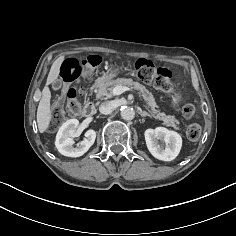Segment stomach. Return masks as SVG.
<instances>
[{
	"mask_svg": "<svg viewBox=\"0 0 236 236\" xmlns=\"http://www.w3.org/2000/svg\"><path fill=\"white\" fill-rule=\"evenodd\" d=\"M123 71L121 66H113L111 69H109L107 72L103 73V79L104 80H109L114 77H116L119 73ZM179 97L175 96L172 101V105L176 106L179 103Z\"/></svg>",
	"mask_w": 236,
	"mask_h": 236,
	"instance_id": "stomach-1",
	"label": "stomach"
}]
</instances>
